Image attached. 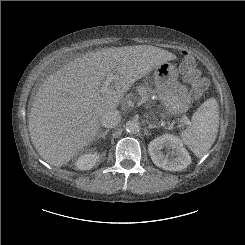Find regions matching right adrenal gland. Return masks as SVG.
<instances>
[{
	"label": "right adrenal gland",
	"instance_id": "1",
	"mask_svg": "<svg viewBox=\"0 0 245 245\" xmlns=\"http://www.w3.org/2000/svg\"><path fill=\"white\" fill-rule=\"evenodd\" d=\"M108 132H109V130H105V131L100 132L98 134V136L95 138V141H98L100 138L105 139V136L107 135Z\"/></svg>",
	"mask_w": 245,
	"mask_h": 245
}]
</instances>
